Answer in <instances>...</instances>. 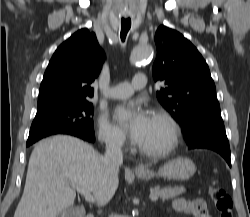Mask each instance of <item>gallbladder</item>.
<instances>
[{"label":"gallbladder","mask_w":250,"mask_h":217,"mask_svg":"<svg viewBox=\"0 0 250 217\" xmlns=\"http://www.w3.org/2000/svg\"><path fill=\"white\" fill-rule=\"evenodd\" d=\"M60 217H84V211L80 208H69Z\"/></svg>","instance_id":"bac80fb5"}]
</instances>
